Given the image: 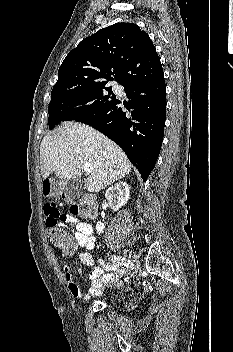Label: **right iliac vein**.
Here are the masks:
<instances>
[{
    "label": "right iliac vein",
    "mask_w": 233,
    "mask_h": 352,
    "mask_svg": "<svg viewBox=\"0 0 233 352\" xmlns=\"http://www.w3.org/2000/svg\"><path fill=\"white\" fill-rule=\"evenodd\" d=\"M123 255L130 261V263H131V265L133 267L132 269L134 271H136V269L139 266V260H138L137 255L134 252L130 251V250H124L123 251ZM134 271H133V273H134Z\"/></svg>",
    "instance_id": "obj_1"
}]
</instances>
